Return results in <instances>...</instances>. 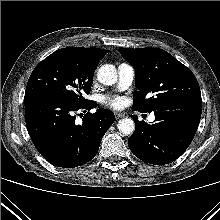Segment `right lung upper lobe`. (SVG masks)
I'll return each mask as SVG.
<instances>
[{
	"label": "right lung upper lobe",
	"mask_w": 220,
	"mask_h": 220,
	"mask_svg": "<svg viewBox=\"0 0 220 220\" xmlns=\"http://www.w3.org/2000/svg\"><path fill=\"white\" fill-rule=\"evenodd\" d=\"M72 52L78 54L82 59L86 62L98 65L99 61L108 53V50L100 49V48H83V47H72L67 48Z\"/></svg>",
	"instance_id": "1"
}]
</instances>
